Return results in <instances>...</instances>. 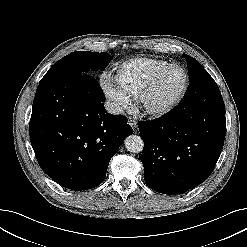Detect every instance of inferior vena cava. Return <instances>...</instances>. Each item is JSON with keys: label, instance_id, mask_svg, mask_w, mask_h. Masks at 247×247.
<instances>
[{"label": "inferior vena cava", "instance_id": "inferior-vena-cava-1", "mask_svg": "<svg viewBox=\"0 0 247 247\" xmlns=\"http://www.w3.org/2000/svg\"><path fill=\"white\" fill-rule=\"evenodd\" d=\"M105 109L108 113L112 115H119L123 112L122 107H120L117 103L111 102V101H106L104 103Z\"/></svg>", "mask_w": 247, "mask_h": 247}]
</instances>
